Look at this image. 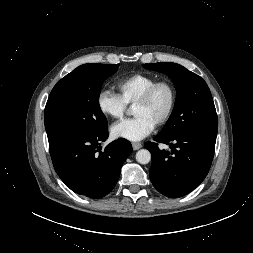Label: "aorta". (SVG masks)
<instances>
[{
  "mask_svg": "<svg viewBox=\"0 0 253 253\" xmlns=\"http://www.w3.org/2000/svg\"><path fill=\"white\" fill-rule=\"evenodd\" d=\"M136 160L140 164H147L151 160V153L147 149H141L136 153Z\"/></svg>",
  "mask_w": 253,
  "mask_h": 253,
  "instance_id": "aorta-1",
  "label": "aorta"
}]
</instances>
